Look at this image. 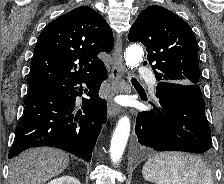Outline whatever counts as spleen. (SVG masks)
Masks as SVG:
<instances>
[{"label":"spleen","mask_w":224,"mask_h":184,"mask_svg":"<svg viewBox=\"0 0 224 184\" xmlns=\"http://www.w3.org/2000/svg\"><path fill=\"white\" fill-rule=\"evenodd\" d=\"M143 177L156 184H214L209 167L195 155L163 152L148 159Z\"/></svg>","instance_id":"obj_1"}]
</instances>
